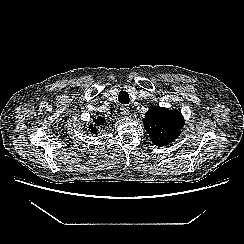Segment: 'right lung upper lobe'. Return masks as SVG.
<instances>
[{"mask_svg": "<svg viewBox=\"0 0 244 244\" xmlns=\"http://www.w3.org/2000/svg\"><path fill=\"white\" fill-rule=\"evenodd\" d=\"M104 122H105V119L102 118V117H97V119H95V123H96V125H98V126L103 125ZM89 128L91 129V130H90L91 133H96V132H97V128L95 127V125H91Z\"/></svg>", "mask_w": 244, "mask_h": 244, "instance_id": "right-lung-upper-lobe-1", "label": "right lung upper lobe"}]
</instances>
